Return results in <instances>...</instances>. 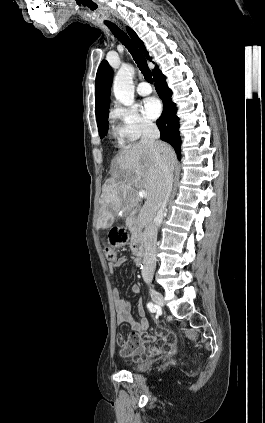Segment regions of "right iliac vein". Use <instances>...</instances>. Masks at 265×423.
Listing matches in <instances>:
<instances>
[{"mask_svg": "<svg viewBox=\"0 0 265 423\" xmlns=\"http://www.w3.org/2000/svg\"><path fill=\"white\" fill-rule=\"evenodd\" d=\"M149 293L152 298V300L158 304L159 306H163L164 299L161 293H159L157 290H155L153 287L149 286Z\"/></svg>", "mask_w": 265, "mask_h": 423, "instance_id": "63e3f726", "label": "right iliac vein"}]
</instances>
